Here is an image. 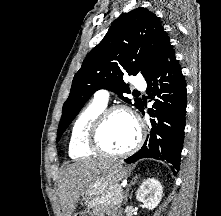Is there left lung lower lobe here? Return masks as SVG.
I'll return each instance as SVG.
<instances>
[{
	"mask_svg": "<svg viewBox=\"0 0 221 216\" xmlns=\"http://www.w3.org/2000/svg\"><path fill=\"white\" fill-rule=\"evenodd\" d=\"M145 80L148 94L155 102L148 113L152 117L149 124V136L142 148L125 159L133 163L141 158H155L166 161L178 171L183 147L186 83L175 52L170 42L162 48L158 59L149 68ZM144 110L142 105L140 111Z\"/></svg>",
	"mask_w": 221,
	"mask_h": 216,
	"instance_id": "0a47b994",
	"label": "left lung lower lobe"
}]
</instances>
